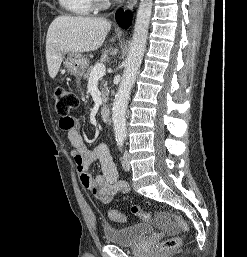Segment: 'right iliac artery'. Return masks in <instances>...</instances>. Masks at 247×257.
I'll return each instance as SVG.
<instances>
[{
    "instance_id": "right-iliac-artery-1",
    "label": "right iliac artery",
    "mask_w": 247,
    "mask_h": 257,
    "mask_svg": "<svg viewBox=\"0 0 247 257\" xmlns=\"http://www.w3.org/2000/svg\"><path fill=\"white\" fill-rule=\"evenodd\" d=\"M117 145L119 146V148H121L123 145V140L122 139L118 140Z\"/></svg>"
}]
</instances>
